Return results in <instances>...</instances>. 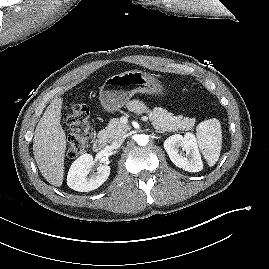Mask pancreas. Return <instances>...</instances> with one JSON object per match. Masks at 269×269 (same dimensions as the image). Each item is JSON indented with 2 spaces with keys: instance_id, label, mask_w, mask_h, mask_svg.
Returning <instances> with one entry per match:
<instances>
[{
  "instance_id": "obj_1",
  "label": "pancreas",
  "mask_w": 269,
  "mask_h": 269,
  "mask_svg": "<svg viewBox=\"0 0 269 269\" xmlns=\"http://www.w3.org/2000/svg\"><path fill=\"white\" fill-rule=\"evenodd\" d=\"M148 115L154 128L161 132L189 131L193 129L195 124L194 118L174 116L172 113L158 107L148 111ZM128 130V125L121 123L118 118H113L109 121L107 127L99 132L98 136L110 142L122 137Z\"/></svg>"
}]
</instances>
